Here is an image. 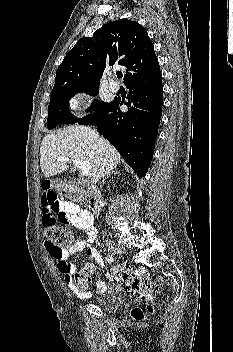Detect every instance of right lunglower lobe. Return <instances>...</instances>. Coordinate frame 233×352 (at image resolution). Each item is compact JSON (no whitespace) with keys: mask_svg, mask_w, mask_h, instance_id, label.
<instances>
[{"mask_svg":"<svg viewBox=\"0 0 233 352\" xmlns=\"http://www.w3.org/2000/svg\"><path fill=\"white\" fill-rule=\"evenodd\" d=\"M125 85L129 89L128 102H125L129 108L127 112L120 111L124 100L114 98L93 115L80 120L79 124H95L141 178L150 166L161 119L163 86L160 68Z\"/></svg>","mask_w":233,"mask_h":352,"instance_id":"right-lung-lower-lobe-1","label":"right lung lower lobe"}]
</instances>
